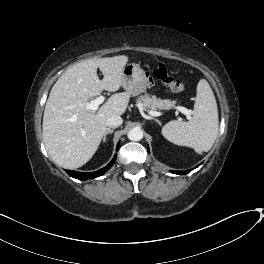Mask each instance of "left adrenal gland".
I'll use <instances>...</instances> for the list:
<instances>
[{
    "label": "left adrenal gland",
    "mask_w": 264,
    "mask_h": 264,
    "mask_svg": "<svg viewBox=\"0 0 264 264\" xmlns=\"http://www.w3.org/2000/svg\"><path fill=\"white\" fill-rule=\"evenodd\" d=\"M159 125H161V122L158 119H154Z\"/></svg>",
    "instance_id": "left-adrenal-gland-1"
}]
</instances>
